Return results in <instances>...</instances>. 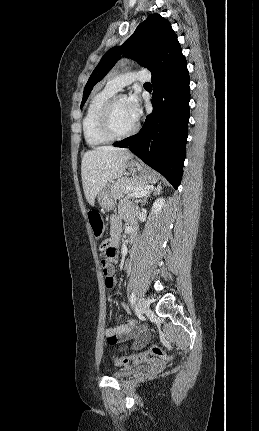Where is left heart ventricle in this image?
<instances>
[{
  "instance_id": "1",
  "label": "left heart ventricle",
  "mask_w": 259,
  "mask_h": 431,
  "mask_svg": "<svg viewBox=\"0 0 259 431\" xmlns=\"http://www.w3.org/2000/svg\"><path fill=\"white\" fill-rule=\"evenodd\" d=\"M135 122L127 109L126 98L119 100L113 109V124L115 129L118 132H126L134 126Z\"/></svg>"
}]
</instances>
